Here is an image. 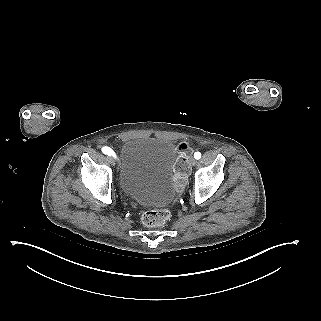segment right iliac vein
<instances>
[{
  "label": "right iliac vein",
  "instance_id": "1",
  "mask_svg": "<svg viewBox=\"0 0 321 321\" xmlns=\"http://www.w3.org/2000/svg\"><path fill=\"white\" fill-rule=\"evenodd\" d=\"M108 161H109V163H110L112 166L115 165V160H114L113 157H108Z\"/></svg>",
  "mask_w": 321,
  "mask_h": 321
}]
</instances>
